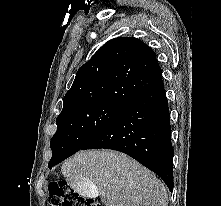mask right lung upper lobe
Returning <instances> with one entry per match:
<instances>
[{
	"mask_svg": "<svg viewBox=\"0 0 221 206\" xmlns=\"http://www.w3.org/2000/svg\"><path fill=\"white\" fill-rule=\"evenodd\" d=\"M161 80V68L149 46L133 37L115 38L79 68L62 112L94 103L125 107Z\"/></svg>",
	"mask_w": 221,
	"mask_h": 206,
	"instance_id": "1",
	"label": "right lung upper lobe"
}]
</instances>
